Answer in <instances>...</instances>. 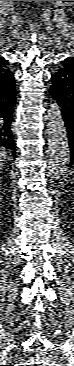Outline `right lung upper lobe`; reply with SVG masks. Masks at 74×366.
Returning <instances> with one entry per match:
<instances>
[{
  "mask_svg": "<svg viewBox=\"0 0 74 366\" xmlns=\"http://www.w3.org/2000/svg\"><path fill=\"white\" fill-rule=\"evenodd\" d=\"M12 76V73L7 66V61L0 57V81H7Z\"/></svg>",
  "mask_w": 74,
  "mask_h": 366,
  "instance_id": "cb5924a9",
  "label": "right lung upper lobe"
}]
</instances>
